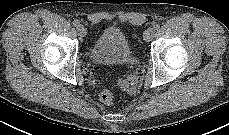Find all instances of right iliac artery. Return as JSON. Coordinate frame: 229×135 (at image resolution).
<instances>
[{"label": "right iliac artery", "instance_id": "obj_1", "mask_svg": "<svg viewBox=\"0 0 229 135\" xmlns=\"http://www.w3.org/2000/svg\"><path fill=\"white\" fill-rule=\"evenodd\" d=\"M73 25H74L75 27H78V26H80V22H79L78 20H74V21H73Z\"/></svg>", "mask_w": 229, "mask_h": 135}]
</instances>
